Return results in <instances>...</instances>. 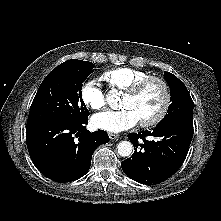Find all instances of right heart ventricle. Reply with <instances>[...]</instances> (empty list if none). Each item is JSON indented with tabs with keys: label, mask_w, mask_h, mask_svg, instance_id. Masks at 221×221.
Masks as SVG:
<instances>
[{
	"label": "right heart ventricle",
	"mask_w": 221,
	"mask_h": 221,
	"mask_svg": "<svg viewBox=\"0 0 221 221\" xmlns=\"http://www.w3.org/2000/svg\"><path fill=\"white\" fill-rule=\"evenodd\" d=\"M150 76L149 73L131 68L118 67L105 71L101 75V79L107 82L112 90L127 91L138 81Z\"/></svg>",
	"instance_id": "right-heart-ventricle-1"
}]
</instances>
